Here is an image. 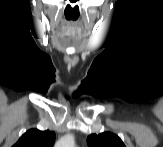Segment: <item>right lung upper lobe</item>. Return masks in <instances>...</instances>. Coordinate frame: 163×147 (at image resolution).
Here are the masks:
<instances>
[{
    "mask_svg": "<svg viewBox=\"0 0 163 147\" xmlns=\"http://www.w3.org/2000/svg\"><path fill=\"white\" fill-rule=\"evenodd\" d=\"M55 133L49 130L30 129L24 133L13 147H52Z\"/></svg>",
    "mask_w": 163,
    "mask_h": 147,
    "instance_id": "right-lung-upper-lobe-1",
    "label": "right lung upper lobe"
}]
</instances>
